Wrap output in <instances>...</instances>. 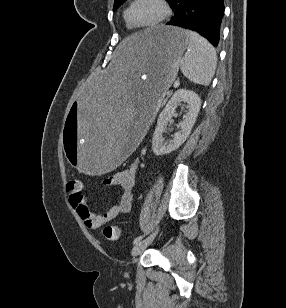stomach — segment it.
Listing matches in <instances>:
<instances>
[{"label":"stomach","instance_id":"stomach-1","mask_svg":"<svg viewBox=\"0 0 286 308\" xmlns=\"http://www.w3.org/2000/svg\"><path fill=\"white\" fill-rule=\"evenodd\" d=\"M143 33L125 36L95 81H87V91L73 100L63 125V153L73 173L106 177L112 168H122L141 144L146 125H154L155 107L177 76L189 37L166 25Z\"/></svg>","mask_w":286,"mask_h":308}]
</instances>
